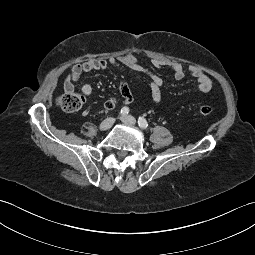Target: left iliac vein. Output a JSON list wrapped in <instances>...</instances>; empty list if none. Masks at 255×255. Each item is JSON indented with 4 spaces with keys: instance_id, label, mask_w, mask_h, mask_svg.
Listing matches in <instances>:
<instances>
[{
    "instance_id": "1",
    "label": "left iliac vein",
    "mask_w": 255,
    "mask_h": 255,
    "mask_svg": "<svg viewBox=\"0 0 255 255\" xmlns=\"http://www.w3.org/2000/svg\"><path fill=\"white\" fill-rule=\"evenodd\" d=\"M121 121L125 124L135 125L136 119L131 115H124L121 117Z\"/></svg>"
}]
</instances>
